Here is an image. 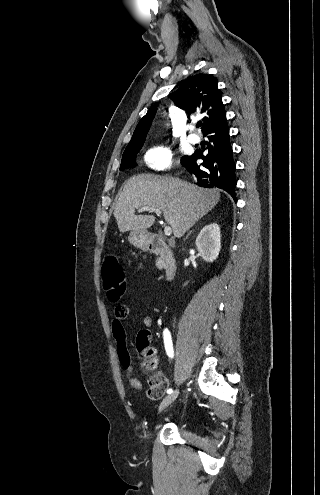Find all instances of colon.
I'll use <instances>...</instances> for the list:
<instances>
[{
	"label": "colon",
	"instance_id": "colon-1",
	"mask_svg": "<svg viewBox=\"0 0 320 495\" xmlns=\"http://www.w3.org/2000/svg\"><path fill=\"white\" fill-rule=\"evenodd\" d=\"M103 285L108 298L116 302L120 299L126 289V278L121 264L115 255H108L102 265ZM123 306H116V310ZM148 331H141L136 340V348L142 361L143 369L146 372L152 371L157 365L153 350L148 346ZM167 389V381L160 374H153L149 378V388L147 391L150 400L160 399Z\"/></svg>",
	"mask_w": 320,
	"mask_h": 495
}]
</instances>
